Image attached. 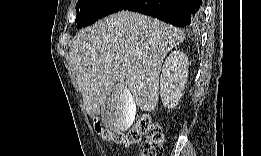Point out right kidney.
I'll list each match as a JSON object with an SVG mask.
<instances>
[{"instance_id": "right-kidney-1", "label": "right kidney", "mask_w": 261, "mask_h": 156, "mask_svg": "<svg viewBox=\"0 0 261 156\" xmlns=\"http://www.w3.org/2000/svg\"><path fill=\"white\" fill-rule=\"evenodd\" d=\"M188 65V57L181 51H173L165 60L160 77V96L165 107L173 108L182 97Z\"/></svg>"}]
</instances>
